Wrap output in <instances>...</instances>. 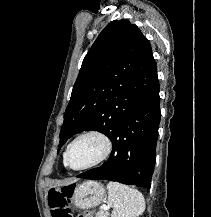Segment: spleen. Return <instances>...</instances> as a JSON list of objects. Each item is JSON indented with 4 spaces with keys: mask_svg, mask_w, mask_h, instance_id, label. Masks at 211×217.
Returning <instances> with one entry per match:
<instances>
[{
    "mask_svg": "<svg viewBox=\"0 0 211 217\" xmlns=\"http://www.w3.org/2000/svg\"><path fill=\"white\" fill-rule=\"evenodd\" d=\"M112 217H139L145 210L143 195L136 189L118 182L107 184Z\"/></svg>",
    "mask_w": 211,
    "mask_h": 217,
    "instance_id": "3e777b00",
    "label": "spleen"
}]
</instances>
